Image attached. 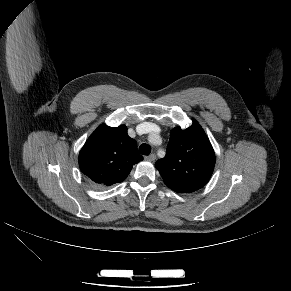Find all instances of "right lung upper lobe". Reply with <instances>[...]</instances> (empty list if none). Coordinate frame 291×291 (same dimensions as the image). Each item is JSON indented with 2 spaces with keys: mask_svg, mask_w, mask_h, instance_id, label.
Masks as SVG:
<instances>
[{
  "mask_svg": "<svg viewBox=\"0 0 291 291\" xmlns=\"http://www.w3.org/2000/svg\"><path fill=\"white\" fill-rule=\"evenodd\" d=\"M141 160L136 142L128 136L125 125H100L88 138L79 154L81 171L101 186L122 182L132 166Z\"/></svg>",
  "mask_w": 291,
  "mask_h": 291,
  "instance_id": "cb5924a9",
  "label": "right lung upper lobe"
}]
</instances>
